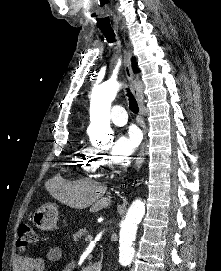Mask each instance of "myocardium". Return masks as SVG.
<instances>
[{
  "label": "myocardium",
  "mask_w": 221,
  "mask_h": 271,
  "mask_svg": "<svg viewBox=\"0 0 221 271\" xmlns=\"http://www.w3.org/2000/svg\"><path fill=\"white\" fill-rule=\"evenodd\" d=\"M109 171H121L124 168V158H109L108 160Z\"/></svg>",
  "instance_id": "1"
}]
</instances>
